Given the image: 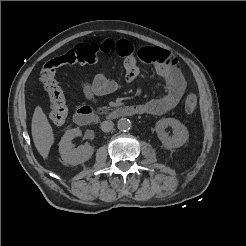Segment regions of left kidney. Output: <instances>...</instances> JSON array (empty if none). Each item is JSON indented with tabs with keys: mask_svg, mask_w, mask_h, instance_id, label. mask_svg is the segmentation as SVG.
<instances>
[{
	"mask_svg": "<svg viewBox=\"0 0 246 246\" xmlns=\"http://www.w3.org/2000/svg\"><path fill=\"white\" fill-rule=\"evenodd\" d=\"M170 126L173 129V135L169 136L165 129ZM155 130L158 138L166 149L179 148L183 146L189 139L186 126L179 120L174 118H164L157 121Z\"/></svg>",
	"mask_w": 246,
	"mask_h": 246,
	"instance_id": "obj_1",
	"label": "left kidney"
}]
</instances>
